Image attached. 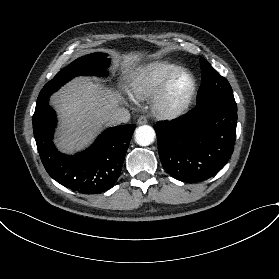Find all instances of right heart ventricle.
I'll use <instances>...</instances> for the list:
<instances>
[{
  "label": "right heart ventricle",
  "instance_id": "right-heart-ventricle-1",
  "mask_svg": "<svg viewBox=\"0 0 279 279\" xmlns=\"http://www.w3.org/2000/svg\"><path fill=\"white\" fill-rule=\"evenodd\" d=\"M181 70H185V67L168 61H155L142 65L133 73L128 91L139 99L151 98L169 77Z\"/></svg>",
  "mask_w": 279,
  "mask_h": 279
}]
</instances>
